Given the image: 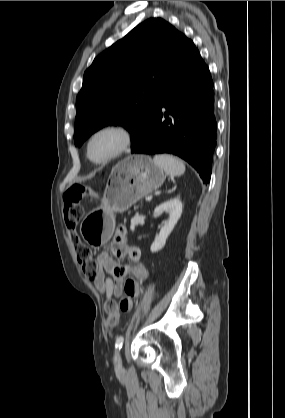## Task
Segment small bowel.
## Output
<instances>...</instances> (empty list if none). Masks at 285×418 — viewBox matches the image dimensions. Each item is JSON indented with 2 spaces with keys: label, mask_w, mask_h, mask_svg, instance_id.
Returning <instances> with one entry per match:
<instances>
[{
  "label": "small bowel",
  "mask_w": 285,
  "mask_h": 418,
  "mask_svg": "<svg viewBox=\"0 0 285 418\" xmlns=\"http://www.w3.org/2000/svg\"><path fill=\"white\" fill-rule=\"evenodd\" d=\"M112 250L116 251V257H127L135 266H121L108 252H102L97 256L99 265L98 275L93 279L95 286L107 299L125 296L120 301V308L128 312L132 308L134 297H139L145 292L141 282L148 277V269L141 262V252L138 248L128 247L124 232H118L112 242ZM129 273L131 276L126 277Z\"/></svg>",
  "instance_id": "obj_1"
}]
</instances>
